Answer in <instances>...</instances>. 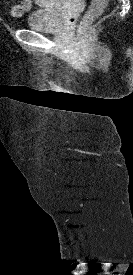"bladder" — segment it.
Here are the masks:
<instances>
[{"label": "bladder", "instance_id": "1", "mask_svg": "<svg viewBox=\"0 0 133 275\" xmlns=\"http://www.w3.org/2000/svg\"><path fill=\"white\" fill-rule=\"evenodd\" d=\"M52 4L33 10L25 21L28 29L41 32H58L64 21L62 3L64 0H51Z\"/></svg>", "mask_w": 133, "mask_h": 275}]
</instances>
